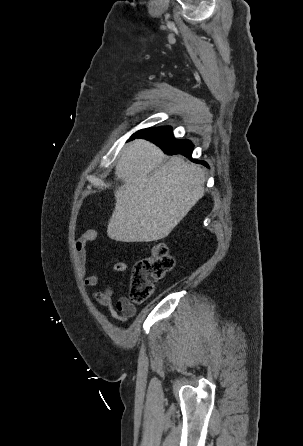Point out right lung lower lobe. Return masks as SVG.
Wrapping results in <instances>:
<instances>
[{"mask_svg":"<svg viewBox=\"0 0 303 446\" xmlns=\"http://www.w3.org/2000/svg\"><path fill=\"white\" fill-rule=\"evenodd\" d=\"M147 139L156 145H158L164 152L168 155L172 154H182L186 157L191 158L193 151V144L189 140H178L175 139L172 133V128L169 126L157 127L148 129L144 133L132 137ZM205 166H208L204 161H196Z\"/></svg>","mask_w":303,"mask_h":446,"instance_id":"1","label":"right lung lower lobe"}]
</instances>
